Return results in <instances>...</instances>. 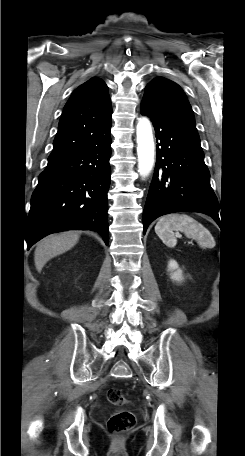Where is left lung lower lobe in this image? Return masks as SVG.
I'll return each mask as SVG.
<instances>
[{"mask_svg":"<svg viewBox=\"0 0 245 456\" xmlns=\"http://www.w3.org/2000/svg\"><path fill=\"white\" fill-rule=\"evenodd\" d=\"M140 112L153 122L159 141L155 172L143 212V233L153 220L173 212H201L217 222L218 200L210 186V173L197 130L144 104Z\"/></svg>","mask_w":245,"mask_h":456,"instance_id":"left-lung-lower-lobe-1","label":"left lung lower lobe"}]
</instances>
